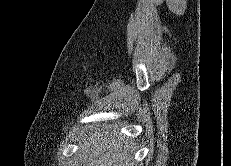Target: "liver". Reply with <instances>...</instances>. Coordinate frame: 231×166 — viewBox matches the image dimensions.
Listing matches in <instances>:
<instances>
[{
	"instance_id": "1",
	"label": "liver",
	"mask_w": 231,
	"mask_h": 166,
	"mask_svg": "<svg viewBox=\"0 0 231 166\" xmlns=\"http://www.w3.org/2000/svg\"><path fill=\"white\" fill-rule=\"evenodd\" d=\"M131 148L130 140L116 133V126L105 125L82 139L76 156L83 166H136Z\"/></svg>"
}]
</instances>
